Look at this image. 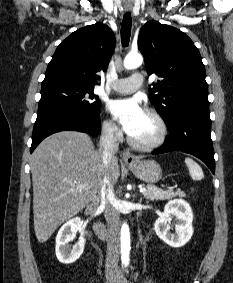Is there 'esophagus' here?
<instances>
[{"mask_svg": "<svg viewBox=\"0 0 233 283\" xmlns=\"http://www.w3.org/2000/svg\"><path fill=\"white\" fill-rule=\"evenodd\" d=\"M125 9L129 11L130 7H126ZM122 159L124 162L129 163V164L135 163L137 161V158L128 150H124L122 152Z\"/></svg>", "mask_w": 233, "mask_h": 283, "instance_id": "34e87169", "label": "esophagus"}]
</instances>
